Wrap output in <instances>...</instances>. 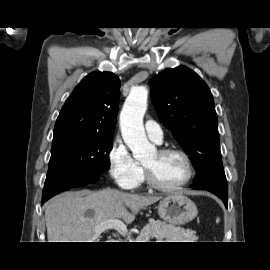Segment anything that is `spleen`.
I'll use <instances>...</instances> for the list:
<instances>
[{
    "instance_id": "3e777b00",
    "label": "spleen",
    "mask_w": 270,
    "mask_h": 270,
    "mask_svg": "<svg viewBox=\"0 0 270 270\" xmlns=\"http://www.w3.org/2000/svg\"><path fill=\"white\" fill-rule=\"evenodd\" d=\"M216 222H217V223L219 222V218H217Z\"/></svg>"
}]
</instances>
